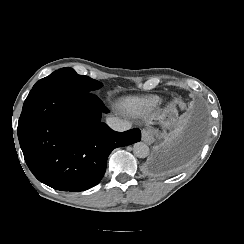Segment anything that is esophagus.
I'll return each instance as SVG.
<instances>
[{
    "mask_svg": "<svg viewBox=\"0 0 244 244\" xmlns=\"http://www.w3.org/2000/svg\"><path fill=\"white\" fill-rule=\"evenodd\" d=\"M142 140L148 144H153L155 142L151 128H145L142 130Z\"/></svg>",
    "mask_w": 244,
    "mask_h": 244,
    "instance_id": "esophagus-1",
    "label": "esophagus"
}]
</instances>
